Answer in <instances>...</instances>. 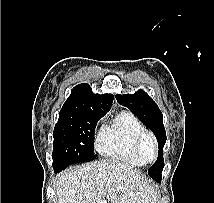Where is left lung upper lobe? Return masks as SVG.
<instances>
[{
	"instance_id": "1",
	"label": "left lung upper lobe",
	"mask_w": 214,
	"mask_h": 203,
	"mask_svg": "<svg viewBox=\"0 0 214 203\" xmlns=\"http://www.w3.org/2000/svg\"><path fill=\"white\" fill-rule=\"evenodd\" d=\"M119 104L129 108L138 119L152 130L158 141V158L149 168L148 174L157 182L161 181L164 167L163 147L166 142V132L163 125V115L157 104L144 91L139 90L134 94L116 95Z\"/></svg>"
}]
</instances>
